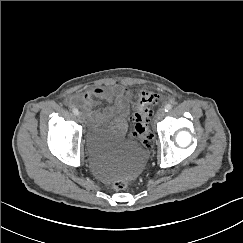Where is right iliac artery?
<instances>
[{"label":"right iliac artery","instance_id":"obj_1","mask_svg":"<svg viewBox=\"0 0 243 243\" xmlns=\"http://www.w3.org/2000/svg\"><path fill=\"white\" fill-rule=\"evenodd\" d=\"M73 113H74L75 115H78V114H79V111H78L76 108H74V109H73Z\"/></svg>","mask_w":243,"mask_h":243}]
</instances>
